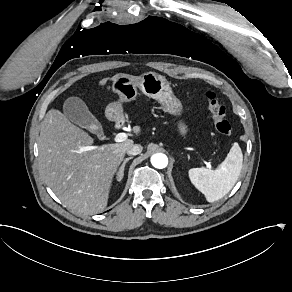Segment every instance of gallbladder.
<instances>
[{
	"instance_id": "bac80fb5",
	"label": "gallbladder",
	"mask_w": 292,
	"mask_h": 292,
	"mask_svg": "<svg viewBox=\"0 0 292 292\" xmlns=\"http://www.w3.org/2000/svg\"><path fill=\"white\" fill-rule=\"evenodd\" d=\"M63 111L65 116L73 123L79 125L82 128L88 129L97 120L95 116L88 110L85 102L78 97L68 98L63 105ZM103 133L98 135L99 139H102Z\"/></svg>"
}]
</instances>
